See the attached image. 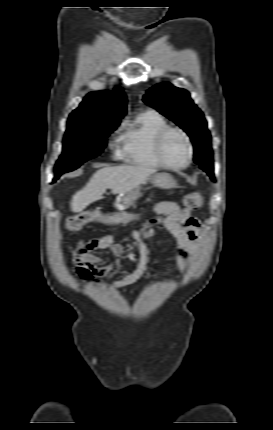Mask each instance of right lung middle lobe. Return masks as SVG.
Segmentation results:
<instances>
[{"instance_id": "1", "label": "right lung middle lobe", "mask_w": 273, "mask_h": 430, "mask_svg": "<svg viewBox=\"0 0 273 430\" xmlns=\"http://www.w3.org/2000/svg\"><path fill=\"white\" fill-rule=\"evenodd\" d=\"M120 124L119 121L88 120L69 117L63 153L55 165V178L78 168L85 161L98 156L107 144L106 138Z\"/></svg>"}]
</instances>
